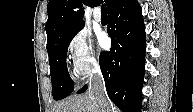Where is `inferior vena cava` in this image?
I'll use <instances>...</instances> for the list:
<instances>
[{
	"mask_svg": "<svg viewBox=\"0 0 193 112\" xmlns=\"http://www.w3.org/2000/svg\"><path fill=\"white\" fill-rule=\"evenodd\" d=\"M89 93L93 96L98 106L100 107V112H110L102 73L97 65H95L90 76Z\"/></svg>",
	"mask_w": 193,
	"mask_h": 112,
	"instance_id": "inferior-vena-cava-1",
	"label": "inferior vena cava"
}]
</instances>
